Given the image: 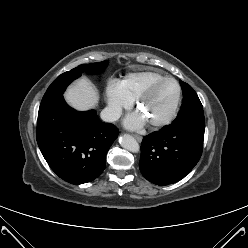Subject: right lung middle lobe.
Listing matches in <instances>:
<instances>
[{
	"instance_id": "dd1d6c3e",
	"label": "right lung middle lobe",
	"mask_w": 248,
	"mask_h": 248,
	"mask_svg": "<svg viewBox=\"0 0 248 248\" xmlns=\"http://www.w3.org/2000/svg\"><path fill=\"white\" fill-rule=\"evenodd\" d=\"M108 61H103L100 63H92L87 65H79L78 67L67 71L60 76H58L54 82L49 86L43 99L41 101L40 107L45 106L46 104L53 102L62 96L66 87L75 79L80 77L83 73L89 75L99 74L107 67Z\"/></svg>"
}]
</instances>
